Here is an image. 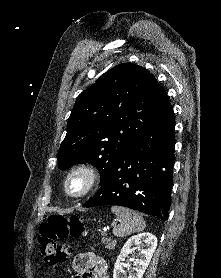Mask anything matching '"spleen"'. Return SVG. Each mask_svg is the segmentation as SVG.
Returning a JSON list of instances; mask_svg holds the SVG:
<instances>
[{"mask_svg": "<svg viewBox=\"0 0 221 278\" xmlns=\"http://www.w3.org/2000/svg\"><path fill=\"white\" fill-rule=\"evenodd\" d=\"M111 212L119 219L120 224L113 229V234L117 237H125L132 233L140 232L145 229L144 219L131 209L112 206Z\"/></svg>", "mask_w": 221, "mask_h": 278, "instance_id": "3e777b00", "label": "spleen"}]
</instances>
